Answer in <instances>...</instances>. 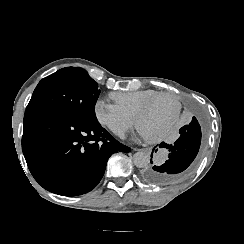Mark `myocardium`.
<instances>
[{
  "mask_svg": "<svg viewBox=\"0 0 244 244\" xmlns=\"http://www.w3.org/2000/svg\"><path fill=\"white\" fill-rule=\"evenodd\" d=\"M121 95H122V93L120 94V96ZM165 98H172L177 103L176 110L171 114V116L167 120H165V127L172 124L174 122V120L176 119V117H177V115L181 109L180 97L174 93H161L159 95H155L154 98H149L147 100V102H144V104H142V107H141L140 112H139L138 122L140 124H142L144 121V116L148 112V109L153 107L155 105V103L157 101H159L160 99H165Z\"/></svg>",
  "mask_w": 244,
  "mask_h": 244,
  "instance_id": "obj_1",
  "label": "myocardium"
}]
</instances>
